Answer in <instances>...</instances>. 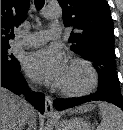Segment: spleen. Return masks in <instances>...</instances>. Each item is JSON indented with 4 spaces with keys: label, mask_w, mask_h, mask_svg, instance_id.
Segmentation results:
<instances>
[{
    "label": "spleen",
    "mask_w": 123,
    "mask_h": 130,
    "mask_svg": "<svg viewBox=\"0 0 123 130\" xmlns=\"http://www.w3.org/2000/svg\"><path fill=\"white\" fill-rule=\"evenodd\" d=\"M101 123L97 130H123V117L113 105L100 103Z\"/></svg>",
    "instance_id": "3e777b00"
}]
</instances>
